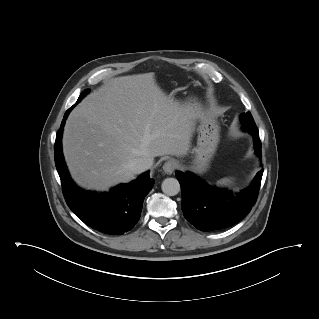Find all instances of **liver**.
<instances>
[{
  "label": "liver",
  "instance_id": "obj_1",
  "mask_svg": "<svg viewBox=\"0 0 319 319\" xmlns=\"http://www.w3.org/2000/svg\"><path fill=\"white\" fill-rule=\"evenodd\" d=\"M193 125L194 113L160 89L155 73L117 77L72 110L63 153L79 186L107 191L134 178V159L187 155Z\"/></svg>",
  "mask_w": 319,
  "mask_h": 319
}]
</instances>
